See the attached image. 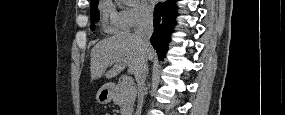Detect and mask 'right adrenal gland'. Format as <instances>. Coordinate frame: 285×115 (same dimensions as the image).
<instances>
[{
	"mask_svg": "<svg viewBox=\"0 0 285 115\" xmlns=\"http://www.w3.org/2000/svg\"><path fill=\"white\" fill-rule=\"evenodd\" d=\"M146 74H148V68H147V72H146Z\"/></svg>",
	"mask_w": 285,
	"mask_h": 115,
	"instance_id": "obj_1",
	"label": "right adrenal gland"
}]
</instances>
